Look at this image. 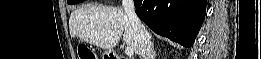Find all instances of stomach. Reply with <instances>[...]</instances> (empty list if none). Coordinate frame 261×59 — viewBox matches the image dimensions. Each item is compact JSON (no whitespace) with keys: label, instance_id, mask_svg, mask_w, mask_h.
Segmentation results:
<instances>
[{"label":"stomach","instance_id":"1","mask_svg":"<svg viewBox=\"0 0 261 59\" xmlns=\"http://www.w3.org/2000/svg\"><path fill=\"white\" fill-rule=\"evenodd\" d=\"M108 53L105 52L103 55H102V59H104L105 57H107Z\"/></svg>","mask_w":261,"mask_h":59}]
</instances>
